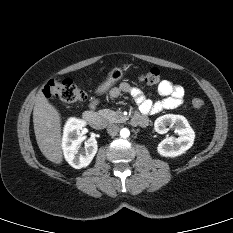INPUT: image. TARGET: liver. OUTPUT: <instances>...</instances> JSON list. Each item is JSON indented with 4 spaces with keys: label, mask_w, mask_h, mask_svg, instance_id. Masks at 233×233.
Returning a JSON list of instances; mask_svg holds the SVG:
<instances>
[{
    "label": "liver",
    "mask_w": 233,
    "mask_h": 233,
    "mask_svg": "<svg viewBox=\"0 0 233 233\" xmlns=\"http://www.w3.org/2000/svg\"><path fill=\"white\" fill-rule=\"evenodd\" d=\"M33 123L36 141L42 154L49 161L61 164L63 151L60 114L41 91L35 97Z\"/></svg>",
    "instance_id": "6515ba94"
}]
</instances>
